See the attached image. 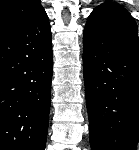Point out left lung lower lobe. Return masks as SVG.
<instances>
[{
	"label": "left lung lower lobe",
	"mask_w": 139,
	"mask_h": 150,
	"mask_svg": "<svg viewBox=\"0 0 139 150\" xmlns=\"http://www.w3.org/2000/svg\"><path fill=\"white\" fill-rule=\"evenodd\" d=\"M83 70L92 150H136L139 40L127 10L105 2L88 17Z\"/></svg>",
	"instance_id": "0a47b994"
}]
</instances>
